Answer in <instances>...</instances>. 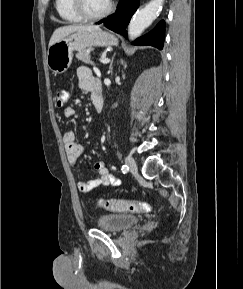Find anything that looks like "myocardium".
<instances>
[{
    "mask_svg": "<svg viewBox=\"0 0 243 289\" xmlns=\"http://www.w3.org/2000/svg\"><path fill=\"white\" fill-rule=\"evenodd\" d=\"M72 3H73V8L76 11V13L86 20L102 19L108 16L114 9L113 0L109 1V5L104 11L97 13V14H92L86 9L85 0H72Z\"/></svg>",
    "mask_w": 243,
    "mask_h": 289,
    "instance_id": "1",
    "label": "myocardium"
}]
</instances>
